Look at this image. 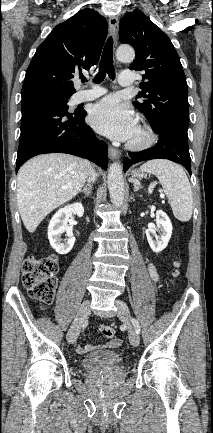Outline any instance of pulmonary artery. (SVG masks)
Wrapping results in <instances>:
<instances>
[{
    "label": "pulmonary artery",
    "instance_id": "pulmonary-artery-1",
    "mask_svg": "<svg viewBox=\"0 0 213 433\" xmlns=\"http://www.w3.org/2000/svg\"><path fill=\"white\" fill-rule=\"evenodd\" d=\"M134 82L133 73L131 71H123L119 76V84L123 87L131 86ZM106 93V89L98 86L91 85L90 89L81 90L76 93L75 100L77 102L94 100Z\"/></svg>",
    "mask_w": 213,
    "mask_h": 433
}]
</instances>
